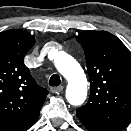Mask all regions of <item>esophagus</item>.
<instances>
[{"label":"esophagus","instance_id":"1","mask_svg":"<svg viewBox=\"0 0 131 131\" xmlns=\"http://www.w3.org/2000/svg\"><path fill=\"white\" fill-rule=\"evenodd\" d=\"M62 90H63V86H57V87H52L51 88V92L52 93H60V92H62Z\"/></svg>","mask_w":131,"mask_h":131}]
</instances>
